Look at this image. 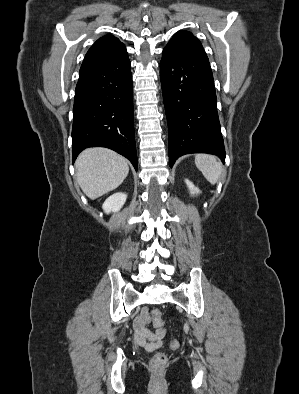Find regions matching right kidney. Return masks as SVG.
I'll use <instances>...</instances> for the list:
<instances>
[{
    "label": "right kidney",
    "instance_id": "obj_1",
    "mask_svg": "<svg viewBox=\"0 0 299 394\" xmlns=\"http://www.w3.org/2000/svg\"><path fill=\"white\" fill-rule=\"evenodd\" d=\"M127 195L119 192L108 197L102 205L105 213L118 212L125 204Z\"/></svg>",
    "mask_w": 299,
    "mask_h": 394
}]
</instances>
